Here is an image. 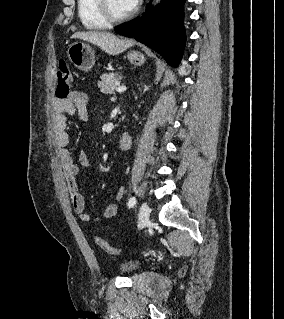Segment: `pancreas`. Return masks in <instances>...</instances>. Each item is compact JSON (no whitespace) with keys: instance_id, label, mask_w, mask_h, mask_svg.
Masks as SVG:
<instances>
[{"instance_id":"1","label":"pancreas","mask_w":284,"mask_h":319,"mask_svg":"<svg viewBox=\"0 0 284 319\" xmlns=\"http://www.w3.org/2000/svg\"><path fill=\"white\" fill-rule=\"evenodd\" d=\"M98 81V88L104 94H113L117 85L120 83L121 77L113 73H105Z\"/></svg>"}]
</instances>
